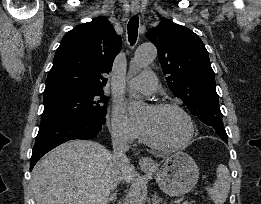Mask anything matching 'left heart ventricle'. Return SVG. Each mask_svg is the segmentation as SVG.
Returning a JSON list of instances; mask_svg holds the SVG:
<instances>
[{
  "instance_id": "1",
  "label": "left heart ventricle",
  "mask_w": 261,
  "mask_h": 204,
  "mask_svg": "<svg viewBox=\"0 0 261 204\" xmlns=\"http://www.w3.org/2000/svg\"><path fill=\"white\" fill-rule=\"evenodd\" d=\"M140 123L164 144H178L188 135V124L175 109L157 111L148 107L141 115Z\"/></svg>"
}]
</instances>
